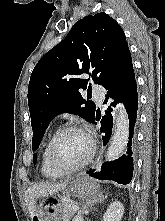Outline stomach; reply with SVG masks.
I'll return each mask as SVG.
<instances>
[{
  "instance_id": "1",
  "label": "stomach",
  "mask_w": 165,
  "mask_h": 221,
  "mask_svg": "<svg viewBox=\"0 0 165 221\" xmlns=\"http://www.w3.org/2000/svg\"><path fill=\"white\" fill-rule=\"evenodd\" d=\"M99 191L98 184L87 177H77L70 181L67 192L79 198L95 196ZM36 212H31L32 221H66V218L57 217V213H64L62 200H36Z\"/></svg>"
}]
</instances>
